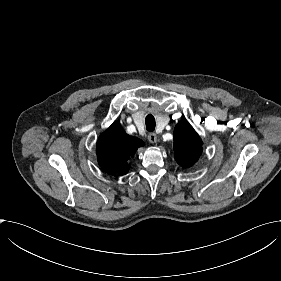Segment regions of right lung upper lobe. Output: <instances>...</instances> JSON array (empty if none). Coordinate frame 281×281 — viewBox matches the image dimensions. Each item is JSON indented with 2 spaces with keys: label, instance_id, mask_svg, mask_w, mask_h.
Here are the masks:
<instances>
[{
  "label": "right lung upper lobe",
  "instance_id": "obj_1",
  "mask_svg": "<svg viewBox=\"0 0 281 281\" xmlns=\"http://www.w3.org/2000/svg\"><path fill=\"white\" fill-rule=\"evenodd\" d=\"M142 145L140 139L129 136L119 124L113 123L97 142L98 163L107 174H126L130 168L129 160Z\"/></svg>",
  "mask_w": 281,
  "mask_h": 281
}]
</instances>
